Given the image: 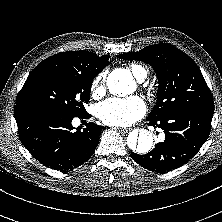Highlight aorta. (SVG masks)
Masks as SVG:
<instances>
[{
	"label": "aorta",
	"instance_id": "aorta-1",
	"mask_svg": "<svg viewBox=\"0 0 222 222\" xmlns=\"http://www.w3.org/2000/svg\"><path fill=\"white\" fill-rule=\"evenodd\" d=\"M107 87L112 94L126 95L135 91V82L127 69H115L107 77ZM129 149L137 154H146L153 145L151 132L145 129L135 130L127 137Z\"/></svg>",
	"mask_w": 222,
	"mask_h": 222
}]
</instances>
